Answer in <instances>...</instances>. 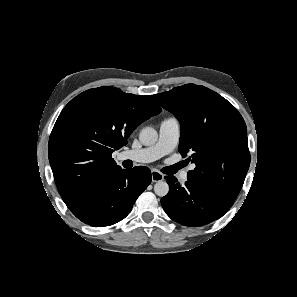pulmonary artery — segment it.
Listing matches in <instances>:
<instances>
[{"label": "pulmonary artery", "mask_w": 297, "mask_h": 297, "mask_svg": "<svg viewBox=\"0 0 297 297\" xmlns=\"http://www.w3.org/2000/svg\"><path fill=\"white\" fill-rule=\"evenodd\" d=\"M180 137V123L177 118L164 119L159 126V137L155 144L135 150L123 152L120 158L134 162L149 163L170 153L177 146ZM183 182L188 180V172L183 171L180 175Z\"/></svg>", "instance_id": "e3ab8cb5"}]
</instances>
